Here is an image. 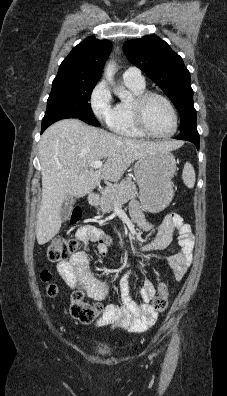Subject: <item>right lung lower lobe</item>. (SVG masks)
<instances>
[{
  "label": "right lung lower lobe",
  "instance_id": "1",
  "mask_svg": "<svg viewBox=\"0 0 227 396\" xmlns=\"http://www.w3.org/2000/svg\"><path fill=\"white\" fill-rule=\"evenodd\" d=\"M65 118H74L68 114H60V115H55V116H51L48 118H43L42 120V129H41V133L51 124H53L54 122L61 120V119H65Z\"/></svg>",
  "mask_w": 227,
  "mask_h": 396
}]
</instances>
